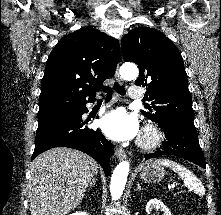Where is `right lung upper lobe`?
Here are the masks:
<instances>
[{"instance_id": "right-lung-upper-lobe-1", "label": "right lung upper lobe", "mask_w": 221, "mask_h": 215, "mask_svg": "<svg viewBox=\"0 0 221 215\" xmlns=\"http://www.w3.org/2000/svg\"><path fill=\"white\" fill-rule=\"evenodd\" d=\"M118 40L95 28L63 37L50 53L41 84L39 118L56 117L94 102L103 81L114 76Z\"/></svg>"}]
</instances>
